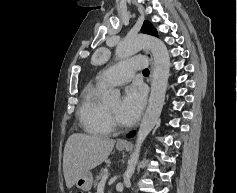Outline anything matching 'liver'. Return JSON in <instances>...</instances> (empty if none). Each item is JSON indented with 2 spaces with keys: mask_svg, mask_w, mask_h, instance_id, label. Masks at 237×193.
I'll return each mask as SVG.
<instances>
[{
  "mask_svg": "<svg viewBox=\"0 0 237 193\" xmlns=\"http://www.w3.org/2000/svg\"><path fill=\"white\" fill-rule=\"evenodd\" d=\"M114 145L115 140L103 136L80 133L69 136L63 155V173L67 188H72L86 171L103 163Z\"/></svg>",
  "mask_w": 237,
  "mask_h": 193,
  "instance_id": "1",
  "label": "liver"
}]
</instances>
